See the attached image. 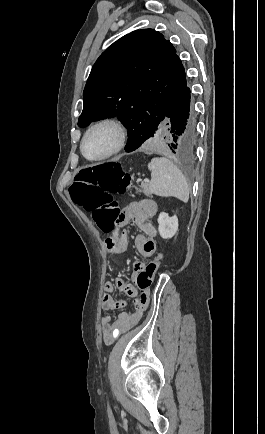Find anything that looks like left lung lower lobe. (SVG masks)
<instances>
[{"label": "left lung lower lobe", "instance_id": "obj_1", "mask_svg": "<svg viewBox=\"0 0 265 434\" xmlns=\"http://www.w3.org/2000/svg\"><path fill=\"white\" fill-rule=\"evenodd\" d=\"M162 145L173 153L190 155L197 140L196 123L190 108V89L187 82L161 117ZM156 128L134 130L127 140L126 152H132L154 136Z\"/></svg>", "mask_w": 265, "mask_h": 434}]
</instances>
